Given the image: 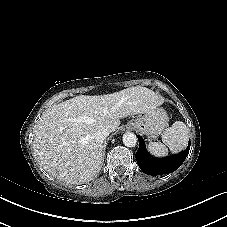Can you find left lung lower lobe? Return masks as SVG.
<instances>
[{"mask_svg":"<svg viewBox=\"0 0 227 227\" xmlns=\"http://www.w3.org/2000/svg\"><path fill=\"white\" fill-rule=\"evenodd\" d=\"M137 137L139 140V149L137 151V164L140 169L148 175L155 176L172 173L181 166L189 153L190 141L187 149L183 152L163 159L153 158L148 154L145 142L142 137L138 135Z\"/></svg>","mask_w":227,"mask_h":227,"instance_id":"obj_1","label":"left lung lower lobe"}]
</instances>
